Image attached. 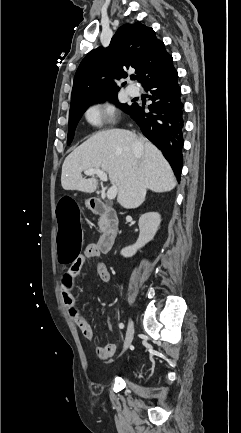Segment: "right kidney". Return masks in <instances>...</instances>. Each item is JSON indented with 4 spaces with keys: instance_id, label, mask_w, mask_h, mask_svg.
I'll return each mask as SVG.
<instances>
[{
    "instance_id": "obj_1",
    "label": "right kidney",
    "mask_w": 241,
    "mask_h": 433,
    "mask_svg": "<svg viewBox=\"0 0 241 433\" xmlns=\"http://www.w3.org/2000/svg\"><path fill=\"white\" fill-rule=\"evenodd\" d=\"M160 222L161 216L157 212H148L141 215L138 222L140 229L139 238L134 245L123 248L121 250V255L126 258L135 255L138 249L145 246L154 238Z\"/></svg>"
}]
</instances>
